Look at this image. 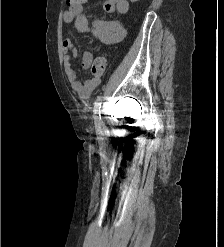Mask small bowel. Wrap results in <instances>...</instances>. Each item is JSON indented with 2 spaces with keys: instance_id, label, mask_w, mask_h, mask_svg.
I'll use <instances>...</instances> for the list:
<instances>
[{
  "instance_id": "small-bowel-1",
  "label": "small bowel",
  "mask_w": 224,
  "mask_h": 247,
  "mask_svg": "<svg viewBox=\"0 0 224 247\" xmlns=\"http://www.w3.org/2000/svg\"><path fill=\"white\" fill-rule=\"evenodd\" d=\"M88 0H86L87 2ZM103 9L106 13L117 12L119 14L127 13L129 4L127 0H105ZM65 23H74L78 32L91 31L94 37L104 44H113L121 41L125 36V29L119 21L102 20L97 18L89 19L83 11V6L70 7L63 14ZM62 50L64 52L63 63L66 77L72 90L82 99L88 98L100 83L99 77L81 82L78 79L73 60L77 57V49L74 46V39L68 36L62 41ZM93 62V53L86 51L81 58L83 68H88Z\"/></svg>"
}]
</instances>
